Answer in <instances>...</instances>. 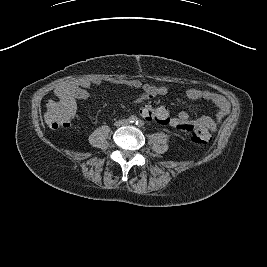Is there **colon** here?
Instances as JSON below:
<instances>
[{
	"instance_id": "5ec220e1",
	"label": "colon",
	"mask_w": 267,
	"mask_h": 267,
	"mask_svg": "<svg viewBox=\"0 0 267 267\" xmlns=\"http://www.w3.org/2000/svg\"><path fill=\"white\" fill-rule=\"evenodd\" d=\"M47 121L52 129L66 128L70 126V118L65 114L58 104L49 103L48 106ZM193 141L199 145H206L209 141L207 133L198 132L193 137Z\"/></svg>"
}]
</instances>
